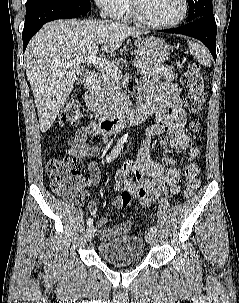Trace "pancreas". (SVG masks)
I'll return each mask as SVG.
<instances>
[{"instance_id": "pancreas-1", "label": "pancreas", "mask_w": 239, "mask_h": 303, "mask_svg": "<svg viewBox=\"0 0 239 303\" xmlns=\"http://www.w3.org/2000/svg\"><path fill=\"white\" fill-rule=\"evenodd\" d=\"M136 60L144 63L143 67H137L144 75L155 76L168 82L174 81L177 75L173 67L154 63L142 54L136 55ZM120 60L115 62L118 65ZM122 93L119 79H115L109 72L102 74L96 89L92 92L90 107L96 115L109 114L116 110L118 103L122 102Z\"/></svg>"}]
</instances>
